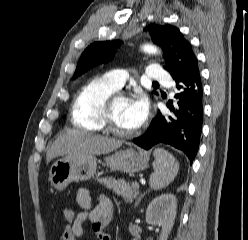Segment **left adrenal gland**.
I'll list each match as a JSON object with an SVG mask.
<instances>
[{"label":"left adrenal gland","mask_w":248,"mask_h":240,"mask_svg":"<svg viewBox=\"0 0 248 240\" xmlns=\"http://www.w3.org/2000/svg\"><path fill=\"white\" fill-rule=\"evenodd\" d=\"M148 193V191L144 192L143 194L139 195L138 199L135 202L134 208H136L138 206V204L140 203L141 199Z\"/></svg>","instance_id":"1"}]
</instances>
